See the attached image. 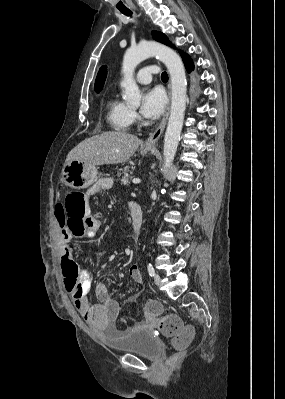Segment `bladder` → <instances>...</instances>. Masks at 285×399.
I'll use <instances>...</instances> for the list:
<instances>
[{"label":"bladder","instance_id":"bladder-1","mask_svg":"<svg viewBox=\"0 0 285 399\" xmlns=\"http://www.w3.org/2000/svg\"><path fill=\"white\" fill-rule=\"evenodd\" d=\"M105 345L117 352L156 358L162 347L154 334L144 327H132L121 333H103Z\"/></svg>","mask_w":285,"mask_h":399}]
</instances>
